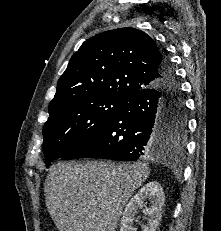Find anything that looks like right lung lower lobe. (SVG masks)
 <instances>
[{
  "mask_svg": "<svg viewBox=\"0 0 221 231\" xmlns=\"http://www.w3.org/2000/svg\"><path fill=\"white\" fill-rule=\"evenodd\" d=\"M163 52L161 79L123 102L95 133L62 159L102 158L136 161L161 154L170 141L164 137L165 110L181 102V91L172 64Z\"/></svg>",
  "mask_w": 221,
  "mask_h": 231,
  "instance_id": "obj_1",
  "label": "right lung lower lobe"
}]
</instances>
